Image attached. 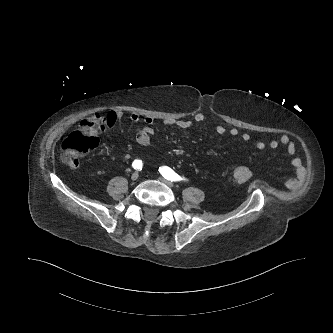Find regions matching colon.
Instances as JSON below:
<instances>
[{
	"mask_svg": "<svg viewBox=\"0 0 333 333\" xmlns=\"http://www.w3.org/2000/svg\"><path fill=\"white\" fill-rule=\"evenodd\" d=\"M114 122L112 114L108 116L93 115L84 119L79 127L73 131L62 143V160L71 167L76 168L80 159L86 153L94 149L99 142V136L106 126ZM237 183L247 182L251 176V170L246 166H237L232 172Z\"/></svg>",
	"mask_w": 333,
	"mask_h": 333,
	"instance_id": "colon-1",
	"label": "colon"
}]
</instances>
